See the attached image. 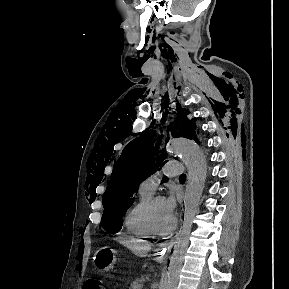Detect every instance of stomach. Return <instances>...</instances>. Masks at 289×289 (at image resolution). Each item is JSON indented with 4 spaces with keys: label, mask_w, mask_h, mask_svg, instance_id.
<instances>
[{
    "label": "stomach",
    "mask_w": 289,
    "mask_h": 289,
    "mask_svg": "<svg viewBox=\"0 0 289 289\" xmlns=\"http://www.w3.org/2000/svg\"><path fill=\"white\" fill-rule=\"evenodd\" d=\"M117 262V251L109 247L100 248L95 254V263L100 271L108 272Z\"/></svg>",
    "instance_id": "1"
}]
</instances>
